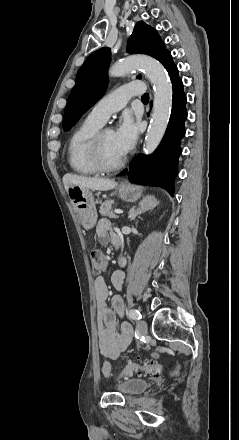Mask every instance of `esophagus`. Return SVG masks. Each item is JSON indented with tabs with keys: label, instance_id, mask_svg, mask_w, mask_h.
I'll list each match as a JSON object with an SVG mask.
<instances>
[{
	"label": "esophagus",
	"instance_id": "34e87169",
	"mask_svg": "<svg viewBox=\"0 0 239 440\" xmlns=\"http://www.w3.org/2000/svg\"><path fill=\"white\" fill-rule=\"evenodd\" d=\"M125 184V182H122L121 185Z\"/></svg>",
	"mask_w": 239,
	"mask_h": 440
}]
</instances>
